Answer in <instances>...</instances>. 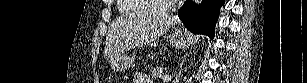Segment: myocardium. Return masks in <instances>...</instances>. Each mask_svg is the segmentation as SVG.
I'll return each mask as SVG.
<instances>
[{
	"instance_id": "f54148a6",
	"label": "myocardium",
	"mask_w": 307,
	"mask_h": 83,
	"mask_svg": "<svg viewBox=\"0 0 307 83\" xmlns=\"http://www.w3.org/2000/svg\"><path fill=\"white\" fill-rule=\"evenodd\" d=\"M161 0H151L149 1L152 6L157 9L159 14H169L175 7L176 1L172 0L166 4L160 3Z\"/></svg>"
}]
</instances>
